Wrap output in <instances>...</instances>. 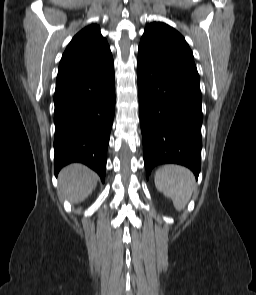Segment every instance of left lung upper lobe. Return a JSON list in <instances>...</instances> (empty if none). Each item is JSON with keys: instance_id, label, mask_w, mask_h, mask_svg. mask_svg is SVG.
<instances>
[{"instance_id": "obj_1", "label": "left lung upper lobe", "mask_w": 256, "mask_h": 295, "mask_svg": "<svg viewBox=\"0 0 256 295\" xmlns=\"http://www.w3.org/2000/svg\"><path fill=\"white\" fill-rule=\"evenodd\" d=\"M137 65L168 82L201 94L191 49L184 37L165 23L154 22L146 27Z\"/></svg>"}]
</instances>
